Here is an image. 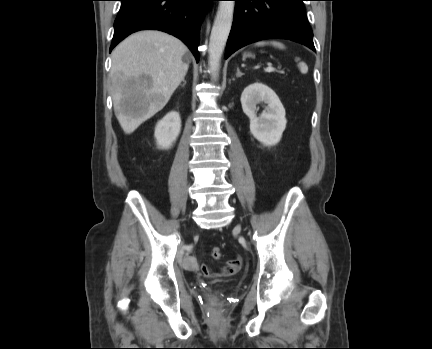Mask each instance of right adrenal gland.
Here are the masks:
<instances>
[{"mask_svg":"<svg viewBox=\"0 0 432 349\" xmlns=\"http://www.w3.org/2000/svg\"><path fill=\"white\" fill-rule=\"evenodd\" d=\"M185 84H186V81H185V80H183V84H182V86L184 87V86H185Z\"/></svg>","mask_w":432,"mask_h":349,"instance_id":"right-adrenal-gland-1","label":"right adrenal gland"}]
</instances>
